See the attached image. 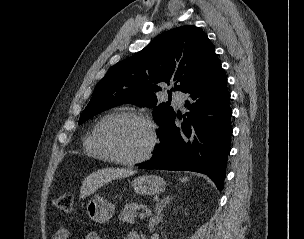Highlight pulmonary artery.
<instances>
[{
    "label": "pulmonary artery",
    "mask_w": 304,
    "mask_h": 239,
    "mask_svg": "<svg viewBox=\"0 0 304 239\" xmlns=\"http://www.w3.org/2000/svg\"><path fill=\"white\" fill-rule=\"evenodd\" d=\"M173 100L178 106H182L184 101V94L181 91H175L173 93Z\"/></svg>",
    "instance_id": "e3ab8cb5"
}]
</instances>
